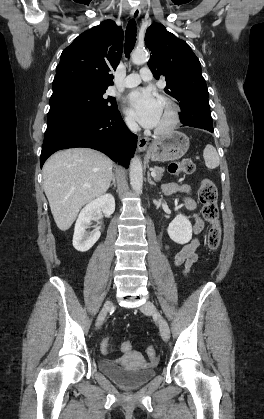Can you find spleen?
<instances>
[{
	"instance_id": "3e777b00",
	"label": "spleen",
	"mask_w": 264,
	"mask_h": 419,
	"mask_svg": "<svg viewBox=\"0 0 264 419\" xmlns=\"http://www.w3.org/2000/svg\"><path fill=\"white\" fill-rule=\"evenodd\" d=\"M205 166L208 169H215L219 166L220 159L214 146L207 144L203 151Z\"/></svg>"
}]
</instances>
